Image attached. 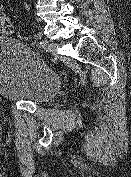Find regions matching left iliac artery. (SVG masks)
I'll return each instance as SVG.
<instances>
[{
	"mask_svg": "<svg viewBox=\"0 0 131 177\" xmlns=\"http://www.w3.org/2000/svg\"><path fill=\"white\" fill-rule=\"evenodd\" d=\"M47 45H48V41L45 40V39H44V40H41V41L39 42V47H40V48L46 49Z\"/></svg>",
	"mask_w": 131,
	"mask_h": 177,
	"instance_id": "1",
	"label": "left iliac artery"
}]
</instances>
